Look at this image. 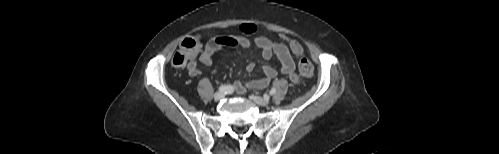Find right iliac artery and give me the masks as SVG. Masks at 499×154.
<instances>
[{"instance_id":"obj_1","label":"right iliac artery","mask_w":499,"mask_h":154,"mask_svg":"<svg viewBox=\"0 0 499 154\" xmlns=\"http://www.w3.org/2000/svg\"><path fill=\"white\" fill-rule=\"evenodd\" d=\"M219 91L225 94H231L234 91V87L231 85H221Z\"/></svg>"}]
</instances>
